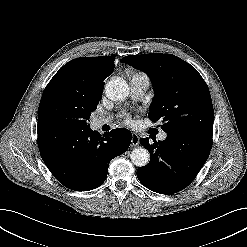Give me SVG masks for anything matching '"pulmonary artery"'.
Returning a JSON list of instances; mask_svg holds the SVG:
<instances>
[{
  "label": "pulmonary artery",
  "mask_w": 247,
  "mask_h": 247,
  "mask_svg": "<svg viewBox=\"0 0 247 247\" xmlns=\"http://www.w3.org/2000/svg\"><path fill=\"white\" fill-rule=\"evenodd\" d=\"M129 85L131 98L135 101H138L144 96L146 90L149 87V78L143 73L134 74L129 79ZM108 122V117H95L93 120V124L95 127H101L103 124H106ZM165 138V133H161L159 135L160 140H164Z\"/></svg>",
  "instance_id": "1"
}]
</instances>
